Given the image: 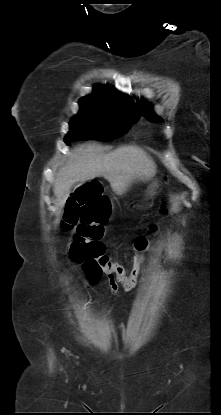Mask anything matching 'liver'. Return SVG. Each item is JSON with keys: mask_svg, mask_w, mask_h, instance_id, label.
I'll return each mask as SVG.
<instances>
[{"mask_svg": "<svg viewBox=\"0 0 221 415\" xmlns=\"http://www.w3.org/2000/svg\"><path fill=\"white\" fill-rule=\"evenodd\" d=\"M76 152L56 174L53 192L59 208L65 205L70 188L76 182L103 176L117 195H123L133 182L148 181L156 174L153 160L135 146H123L104 154L95 145H82Z\"/></svg>", "mask_w": 221, "mask_h": 415, "instance_id": "1", "label": "liver"}]
</instances>
